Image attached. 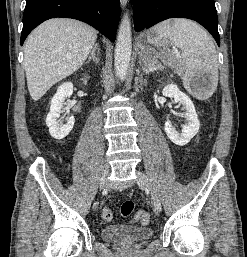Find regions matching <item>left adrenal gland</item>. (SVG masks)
<instances>
[{
    "label": "left adrenal gland",
    "instance_id": "left-adrenal-gland-1",
    "mask_svg": "<svg viewBox=\"0 0 247 257\" xmlns=\"http://www.w3.org/2000/svg\"><path fill=\"white\" fill-rule=\"evenodd\" d=\"M163 69V66L159 62L152 63L148 68H144V72L149 74L150 72H154L156 70Z\"/></svg>",
    "mask_w": 247,
    "mask_h": 257
}]
</instances>
